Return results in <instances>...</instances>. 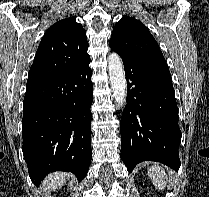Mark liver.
<instances>
[{"instance_id":"1","label":"liver","mask_w":209,"mask_h":197,"mask_svg":"<svg viewBox=\"0 0 209 197\" xmlns=\"http://www.w3.org/2000/svg\"><path fill=\"white\" fill-rule=\"evenodd\" d=\"M67 176L68 174L62 172L48 175L43 182L44 190H56L58 186L66 181Z\"/></svg>"}]
</instances>
